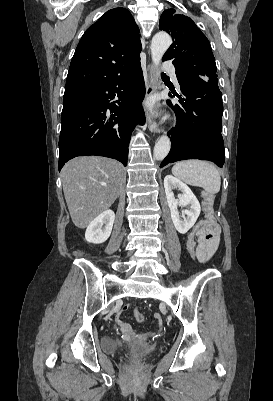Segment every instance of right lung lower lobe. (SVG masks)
Returning <instances> with one entry per match:
<instances>
[{"label":"right lung lower lobe","mask_w":273,"mask_h":401,"mask_svg":"<svg viewBox=\"0 0 273 401\" xmlns=\"http://www.w3.org/2000/svg\"><path fill=\"white\" fill-rule=\"evenodd\" d=\"M117 96L120 101L110 102ZM145 85L140 61L104 84L63 99L59 171L76 157L99 155L127 165L128 144L137 123H145Z\"/></svg>","instance_id":"1"}]
</instances>
